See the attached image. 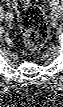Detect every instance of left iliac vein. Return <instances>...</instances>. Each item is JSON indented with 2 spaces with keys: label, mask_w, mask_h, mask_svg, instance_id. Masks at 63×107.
I'll list each match as a JSON object with an SVG mask.
<instances>
[{
  "label": "left iliac vein",
  "mask_w": 63,
  "mask_h": 107,
  "mask_svg": "<svg viewBox=\"0 0 63 107\" xmlns=\"http://www.w3.org/2000/svg\"><path fill=\"white\" fill-rule=\"evenodd\" d=\"M53 15L56 18H60L61 15H62V8L60 6H57V7L53 8Z\"/></svg>",
  "instance_id": "1"
}]
</instances>
